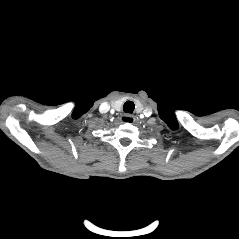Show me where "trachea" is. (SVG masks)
Instances as JSON below:
<instances>
[{"label": "trachea", "mask_w": 239, "mask_h": 239, "mask_svg": "<svg viewBox=\"0 0 239 239\" xmlns=\"http://www.w3.org/2000/svg\"><path fill=\"white\" fill-rule=\"evenodd\" d=\"M134 108H135V105L132 101H126L123 106L124 112H127V113H133Z\"/></svg>", "instance_id": "obj_1"}]
</instances>
